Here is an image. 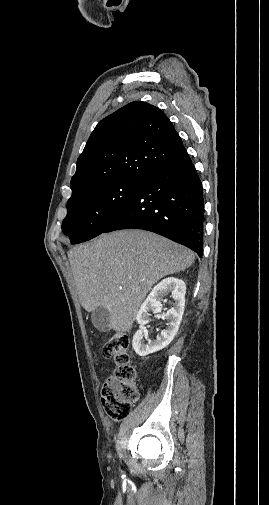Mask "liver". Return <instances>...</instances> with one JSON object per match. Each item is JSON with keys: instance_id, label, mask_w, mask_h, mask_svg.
Here are the masks:
<instances>
[{"instance_id": "6515ba94", "label": "liver", "mask_w": 269, "mask_h": 505, "mask_svg": "<svg viewBox=\"0 0 269 505\" xmlns=\"http://www.w3.org/2000/svg\"><path fill=\"white\" fill-rule=\"evenodd\" d=\"M68 258L82 307L106 308L111 328L131 330L152 286L190 267L194 253L157 234L120 230L69 250Z\"/></svg>"}]
</instances>
